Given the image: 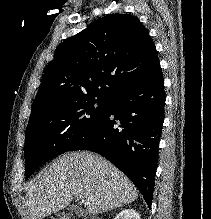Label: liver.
I'll use <instances>...</instances> for the list:
<instances>
[{
  "mask_svg": "<svg viewBox=\"0 0 211 219\" xmlns=\"http://www.w3.org/2000/svg\"><path fill=\"white\" fill-rule=\"evenodd\" d=\"M75 195L85 199L87 214H99L133 202L138 190L105 158L86 151L66 153L29 185V219L66 208Z\"/></svg>",
  "mask_w": 211,
  "mask_h": 219,
  "instance_id": "obj_1",
  "label": "liver"
}]
</instances>
